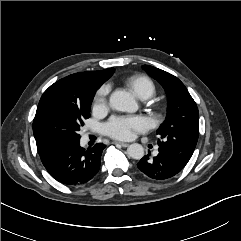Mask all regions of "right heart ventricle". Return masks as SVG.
Returning <instances> with one entry per match:
<instances>
[{
  "label": "right heart ventricle",
  "mask_w": 241,
  "mask_h": 241,
  "mask_svg": "<svg viewBox=\"0 0 241 241\" xmlns=\"http://www.w3.org/2000/svg\"><path fill=\"white\" fill-rule=\"evenodd\" d=\"M125 84L140 99H148L156 92L155 83L145 75H133L126 79Z\"/></svg>",
  "instance_id": "right-heart-ventricle-1"
}]
</instances>
